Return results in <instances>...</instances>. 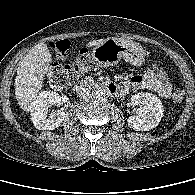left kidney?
<instances>
[{
    "label": "left kidney",
    "instance_id": "left-kidney-1",
    "mask_svg": "<svg viewBox=\"0 0 195 195\" xmlns=\"http://www.w3.org/2000/svg\"><path fill=\"white\" fill-rule=\"evenodd\" d=\"M130 104L136 107V114L128 118V126L137 131H149L158 126L164 112L159 98L140 92L131 97Z\"/></svg>",
    "mask_w": 195,
    "mask_h": 195
}]
</instances>
